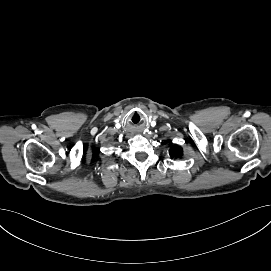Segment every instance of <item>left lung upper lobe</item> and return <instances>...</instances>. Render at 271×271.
<instances>
[{"mask_svg": "<svg viewBox=\"0 0 271 271\" xmlns=\"http://www.w3.org/2000/svg\"><path fill=\"white\" fill-rule=\"evenodd\" d=\"M169 154H170L171 158H175V159L180 158L183 154V150L179 146H173L170 148Z\"/></svg>", "mask_w": 271, "mask_h": 271, "instance_id": "left-lung-upper-lobe-1", "label": "left lung upper lobe"}]
</instances>
